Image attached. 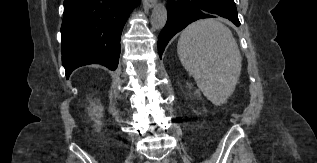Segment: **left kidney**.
Masks as SVG:
<instances>
[{"mask_svg": "<svg viewBox=\"0 0 317 163\" xmlns=\"http://www.w3.org/2000/svg\"><path fill=\"white\" fill-rule=\"evenodd\" d=\"M190 86V85H189ZM195 94H197L198 96H200V92L197 90L196 92H195Z\"/></svg>", "mask_w": 317, "mask_h": 163, "instance_id": "5707ae66", "label": "left kidney"}]
</instances>
